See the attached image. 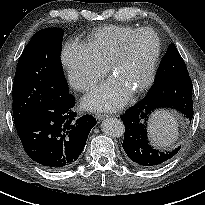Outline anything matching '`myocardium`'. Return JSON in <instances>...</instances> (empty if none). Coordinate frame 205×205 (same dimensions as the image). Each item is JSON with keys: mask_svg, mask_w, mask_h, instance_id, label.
<instances>
[{"mask_svg": "<svg viewBox=\"0 0 205 205\" xmlns=\"http://www.w3.org/2000/svg\"><path fill=\"white\" fill-rule=\"evenodd\" d=\"M144 33H149L154 35L156 39V50L154 53V56L150 62L148 73L144 79V81L136 88L132 90L133 93H140L146 90L151 83L153 82V79L156 74L157 66L159 63V59L161 56V51H162V43L159 35L151 28H140L134 31L133 33L129 34L123 41L121 47L119 50L115 53V55L112 57L108 68L110 72L113 74L114 71L116 70L117 66L126 58L129 52V46L131 42L139 35L144 34Z\"/></svg>", "mask_w": 205, "mask_h": 205, "instance_id": "1", "label": "myocardium"}]
</instances>
